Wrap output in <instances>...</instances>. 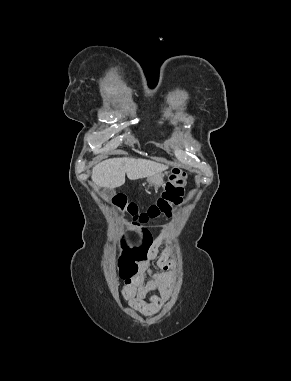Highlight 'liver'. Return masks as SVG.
Here are the masks:
<instances>
[{
	"label": "liver",
	"instance_id": "1",
	"mask_svg": "<svg viewBox=\"0 0 291 381\" xmlns=\"http://www.w3.org/2000/svg\"><path fill=\"white\" fill-rule=\"evenodd\" d=\"M166 168L164 164L145 159L112 158L95 165L92 180L98 187L114 189L125 183V174L130 180H137L162 174Z\"/></svg>",
	"mask_w": 291,
	"mask_h": 381
}]
</instances>
